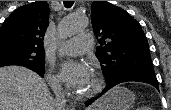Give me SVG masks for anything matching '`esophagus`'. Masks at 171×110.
<instances>
[{"label":"esophagus","instance_id":"obj_1","mask_svg":"<svg viewBox=\"0 0 171 110\" xmlns=\"http://www.w3.org/2000/svg\"><path fill=\"white\" fill-rule=\"evenodd\" d=\"M68 110H74V106L73 105L69 106Z\"/></svg>","mask_w":171,"mask_h":110}]
</instances>
